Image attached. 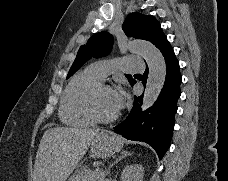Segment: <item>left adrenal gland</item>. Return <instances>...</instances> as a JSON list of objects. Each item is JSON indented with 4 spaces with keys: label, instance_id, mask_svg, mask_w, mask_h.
<instances>
[{
    "label": "left adrenal gland",
    "instance_id": "obj_1",
    "mask_svg": "<svg viewBox=\"0 0 228 181\" xmlns=\"http://www.w3.org/2000/svg\"><path fill=\"white\" fill-rule=\"evenodd\" d=\"M125 157H128L127 153H120L118 159H115V157H113L115 161L112 163V165H109L105 175H110L112 167H114V165H117V163H119V161H122V159H125Z\"/></svg>",
    "mask_w": 228,
    "mask_h": 181
}]
</instances>
